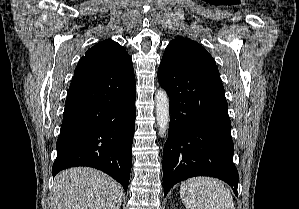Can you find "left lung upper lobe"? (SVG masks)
<instances>
[{
    "label": "left lung upper lobe",
    "instance_id": "left-lung-upper-lobe-1",
    "mask_svg": "<svg viewBox=\"0 0 299 209\" xmlns=\"http://www.w3.org/2000/svg\"><path fill=\"white\" fill-rule=\"evenodd\" d=\"M160 64L177 70L219 73L214 59L206 49L184 37H177L169 43Z\"/></svg>",
    "mask_w": 299,
    "mask_h": 209
}]
</instances>
